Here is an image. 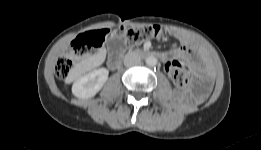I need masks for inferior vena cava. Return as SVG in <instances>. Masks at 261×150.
I'll use <instances>...</instances> for the list:
<instances>
[{
  "label": "inferior vena cava",
  "instance_id": "inferior-vena-cava-1",
  "mask_svg": "<svg viewBox=\"0 0 261 150\" xmlns=\"http://www.w3.org/2000/svg\"><path fill=\"white\" fill-rule=\"evenodd\" d=\"M140 57L135 52H128L124 57V65L131 67L140 63Z\"/></svg>",
  "mask_w": 261,
  "mask_h": 150
}]
</instances>
